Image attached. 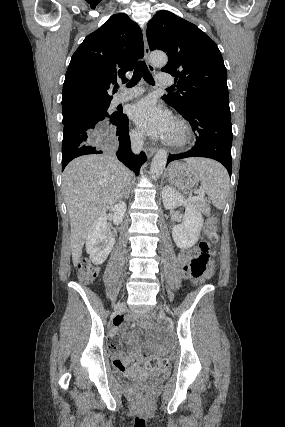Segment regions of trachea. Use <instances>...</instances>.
<instances>
[{
	"label": "trachea",
	"instance_id": "trachea-1",
	"mask_svg": "<svg viewBox=\"0 0 285 427\" xmlns=\"http://www.w3.org/2000/svg\"><path fill=\"white\" fill-rule=\"evenodd\" d=\"M141 77L150 85H155L154 79L144 61H140L136 64L132 79L127 83V87L131 88L135 86L140 81Z\"/></svg>",
	"mask_w": 285,
	"mask_h": 427
}]
</instances>
